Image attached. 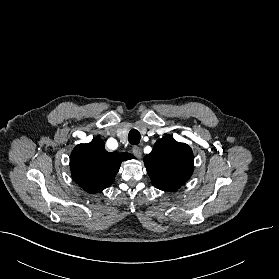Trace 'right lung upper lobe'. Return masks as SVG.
Wrapping results in <instances>:
<instances>
[{"mask_svg":"<svg viewBox=\"0 0 279 279\" xmlns=\"http://www.w3.org/2000/svg\"><path fill=\"white\" fill-rule=\"evenodd\" d=\"M132 158L129 153L107 152L103 140L96 137L72 151L71 175L85 191L98 193L113 183L121 162Z\"/></svg>","mask_w":279,"mask_h":279,"instance_id":"1","label":"right lung upper lobe"}]
</instances>
